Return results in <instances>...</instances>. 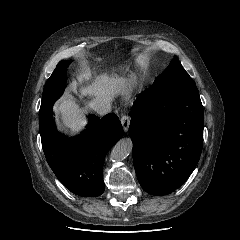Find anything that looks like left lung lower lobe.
Wrapping results in <instances>:
<instances>
[{"label": "left lung lower lobe", "mask_w": 240, "mask_h": 240, "mask_svg": "<svg viewBox=\"0 0 240 240\" xmlns=\"http://www.w3.org/2000/svg\"><path fill=\"white\" fill-rule=\"evenodd\" d=\"M196 85H152L130 112L133 163L142 188L162 196L179 188L202 151L204 115Z\"/></svg>", "instance_id": "1"}]
</instances>
